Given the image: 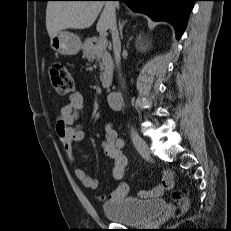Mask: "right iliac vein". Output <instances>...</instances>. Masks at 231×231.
<instances>
[{
  "instance_id": "obj_1",
  "label": "right iliac vein",
  "mask_w": 231,
  "mask_h": 231,
  "mask_svg": "<svg viewBox=\"0 0 231 231\" xmlns=\"http://www.w3.org/2000/svg\"><path fill=\"white\" fill-rule=\"evenodd\" d=\"M131 139L138 152L143 157L148 158L150 150L146 141L136 131H131Z\"/></svg>"
}]
</instances>
